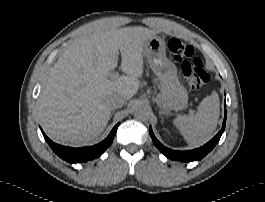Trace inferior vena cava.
<instances>
[{
  "label": "inferior vena cava",
  "mask_w": 265,
  "mask_h": 202,
  "mask_svg": "<svg viewBox=\"0 0 265 202\" xmlns=\"http://www.w3.org/2000/svg\"><path fill=\"white\" fill-rule=\"evenodd\" d=\"M125 103V98L121 94H112L106 99V104L111 109L121 108Z\"/></svg>",
  "instance_id": "inferior-vena-cava-1"
}]
</instances>
